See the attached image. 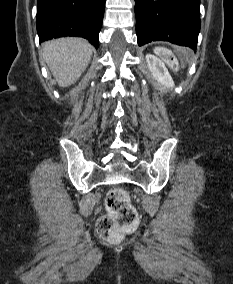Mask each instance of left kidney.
<instances>
[{"label": "left kidney", "instance_id": "5707ae66", "mask_svg": "<svg viewBox=\"0 0 233 284\" xmlns=\"http://www.w3.org/2000/svg\"><path fill=\"white\" fill-rule=\"evenodd\" d=\"M146 62L153 77L160 84L164 85L167 88H172L174 86L173 79L161 59L152 54H147Z\"/></svg>", "mask_w": 233, "mask_h": 284}]
</instances>
